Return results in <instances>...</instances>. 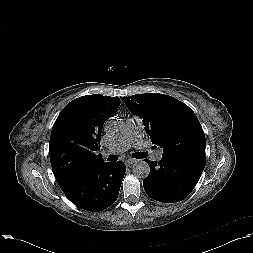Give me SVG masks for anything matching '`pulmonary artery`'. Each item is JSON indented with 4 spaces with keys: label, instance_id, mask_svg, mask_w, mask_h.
<instances>
[{
    "label": "pulmonary artery",
    "instance_id": "obj_1",
    "mask_svg": "<svg viewBox=\"0 0 253 253\" xmlns=\"http://www.w3.org/2000/svg\"><path fill=\"white\" fill-rule=\"evenodd\" d=\"M143 140V126L138 118H127L126 129L123 136L111 144L106 150L103 151L104 155H117L127 151L133 146H139ZM162 149H157L153 153V159L160 161L162 159Z\"/></svg>",
    "mask_w": 253,
    "mask_h": 253
}]
</instances>
